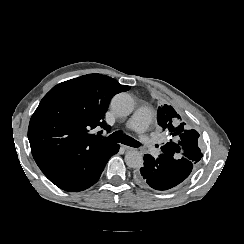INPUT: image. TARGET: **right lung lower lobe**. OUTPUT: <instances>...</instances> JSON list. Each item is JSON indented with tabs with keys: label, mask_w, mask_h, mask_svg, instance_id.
I'll return each mask as SVG.
<instances>
[{
	"label": "right lung lower lobe",
	"mask_w": 244,
	"mask_h": 244,
	"mask_svg": "<svg viewBox=\"0 0 244 244\" xmlns=\"http://www.w3.org/2000/svg\"><path fill=\"white\" fill-rule=\"evenodd\" d=\"M119 151V145L86 151L68 161L42 170L45 176L59 188L78 192L96 183L109 158Z\"/></svg>",
	"instance_id": "98d812e1"
}]
</instances>
